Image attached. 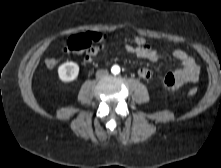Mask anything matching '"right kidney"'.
Returning a JSON list of instances; mask_svg holds the SVG:
<instances>
[{"mask_svg": "<svg viewBox=\"0 0 221 168\" xmlns=\"http://www.w3.org/2000/svg\"><path fill=\"white\" fill-rule=\"evenodd\" d=\"M79 74V66L75 62H66L58 67V75L63 82L74 81Z\"/></svg>", "mask_w": 221, "mask_h": 168, "instance_id": "obj_1", "label": "right kidney"}]
</instances>
